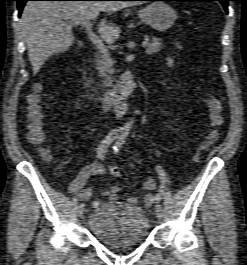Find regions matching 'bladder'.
Returning <instances> with one entry per match:
<instances>
[{"label":"bladder","mask_w":247,"mask_h":265,"mask_svg":"<svg viewBox=\"0 0 247 265\" xmlns=\"http://www.w3.org/2000/svg\"><path fill=\"white\" fill-rule=\"evenodd\" d=\"M88 229L100 243L124 248L146 240L149 221L147 213L139 206L104 202L91 211Z\"/></svg>","instance_id":"obj_1"}]
</instances>
